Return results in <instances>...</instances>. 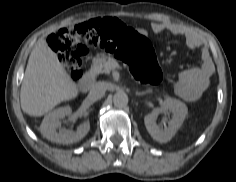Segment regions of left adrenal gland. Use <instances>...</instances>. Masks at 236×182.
<instances>
[{
	"instance_id": "obj_1",
	"label": "left adrenal gland",
	"mask_w": 236,
	"mask_h": 182,
	"mask_svg": "<svg viewBox=\"0 0 236 182\" xmlns=\"http://www.w3.org/2000/svg\"><path fill=\"white\" fill-rule=\"evenodd\" d=\"M135 94H136L137 96H140V95L147 94V92H136Z\"/></svg>"
}]
</instances>
